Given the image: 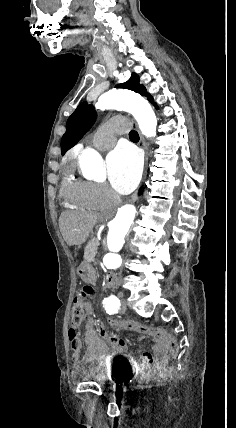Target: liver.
Here are the masks:
<instances>
[{"instance_id":"liver-1","label":"liver","mask_w":236,"mask_h":428,"mask_svg":"<svg viewBox=\"0 0 236 428\" xmlns=\"http://www.w3.org/2000/svg\"><path fill=\"white\" fill-rule=\"evenodd\" d=\"M99 214L94 212H63L59 218V228L68 246H80L92 232Z\"/></svg>"}]
</instances>
